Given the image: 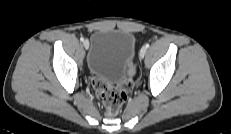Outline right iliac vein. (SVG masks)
<instances>
[{"label":"right iliac vein","instance_id":"1","mask_svg":"<svg viewBox=\"0 0 231 134\" xmlns=\"http://www.w3.org/2000/svg\"><path fill=\"white\" fill-rule=\"evenodd\" d=\"M83 46L85 47V49H88L89 48V41L85 39L83 41Z\"/></svg>","mask_w":231,"mask_h":134}]
</instances>
